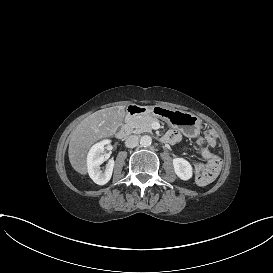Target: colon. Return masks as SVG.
<instances>
[{
    "label": "colon",
    "instance_id": "colon-1",
    "mask_svg": "<svg viewBox=\"0 0 273 273\" xmlns=\"http://www.w3.org/2000/svg\"><path fill=\"white\" fill-rule=\"evenodd\" d=\"M221 166L219 157L210 158L205 166L200 169V176L202 178L200 184L206 185L210 180L214 179Z\"/></svg>",
    "mask_w": 273,
    "mask_h": 273
}]
</instances>
